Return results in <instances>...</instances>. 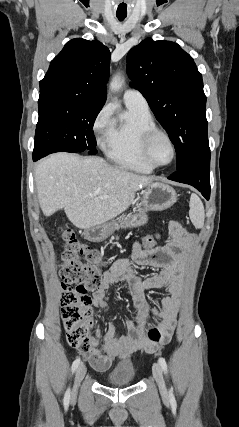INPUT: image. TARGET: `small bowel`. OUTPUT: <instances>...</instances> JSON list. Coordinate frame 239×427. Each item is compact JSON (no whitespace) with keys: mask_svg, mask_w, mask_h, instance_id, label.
Here are the masks:
<instances>
[{"mask_svg":"<svg viewBox=\"0 0 239 427\" xmlns=\"http://www.w3.org/2000/svg\"><path fill=\"white\" fill-rule=\"evenodd\" d=\"M171 239L165 245L155 249H142L139 242L133 245V259L140 265L152 266L157 273L139 278L129 269L128 260H120L109 268L102 277L101 285L93 293V304L101 310L107 305L106 293L116 283L126 280L130 286L133 305L137 311V320H126L125 332L116 334L115 326L109 322L104 334V342L99 344V330L92 338V349L84 353L97 371L107 370L117 357H130L137 349L145 347L151 352L159 345L152 343L142 333L143 326L149 316L160 318V328L164 335V343H168L175 329L179 310L180 274L191 247V235L177 221L169 224ZM166 288L170 295L158 300L150 307L145 291Z\"/></svg>","mask_w":239,"mask_h":427,"instance_id":"small-bowel-1","label":"small bowel"}]
</instances>
